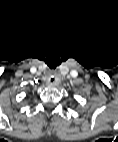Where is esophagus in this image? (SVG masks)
<instances>
[{"label":"esophagus","mask_w":118,"mask_h":142,"mask_svg":"<svg viewBox=\"0 0 118 142\" xmlns=\"http://www.w3.org/2000/svg\"><path fill=\"white\" fill-rule=\"evenodd\" d=\"M57 81H58L57 77H55L53 74H49L47 76V79H46L47 85L53 86L57 83Z\"/></svg>","instance_id":"obj_1"}]
</instances>
